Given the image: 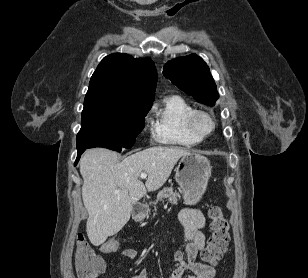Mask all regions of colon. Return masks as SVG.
<instances>
[{"label":"colon","instance_id":"obj_1","mask_svg":"<svg viewBox=\"0 0 308 278\" xmlns=\"http://www.w3.org/2000/svg\"><path fill=\"white\" fill-rule=\"evenodd\" d=\"M212 234L207 247L202 250L201 257L209 265L216 264L224 255L229 243V224L222 209L211 205L208 209ZM117 240H105L99 248L100 253H117L120 250ZM75 267L78 278H98L105 268L104 261L89 245L84 235L77 238Z\"/></svg>","mask_w":308,"mask_h":278}]
</instances>
